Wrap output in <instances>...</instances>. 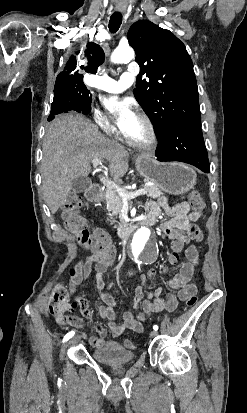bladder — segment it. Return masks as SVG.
<instances>
[{
  "instance_id": "31cf9c89",
  "label": "bladder",
  "mask_w": 247,
  "mask_h": 413,
  "mask_svg": "<svg viewBox=\"0 0 247 413\" xmlns=\"http://www.w3.org/2000/svg\"><path fill=\"white\" fill-rule=\"evenodd\" d=\"M92 356L95 361L103 363L132 362L135 354L124 349L120 343L105 341L99 350H94Z\"/></svg>"
}]
</instances>
